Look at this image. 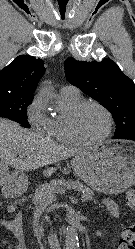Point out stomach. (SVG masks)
I'll return each mask as SVG.
<instances>
[{"instance_id": "stomach-1", "label": "stomach", "mask_w": 135, "mask_h": 249, "mask_svg": "<svg viewBox=\"0 0 135 249\" xmlns=\"http://www.w3.org/2000/svg\"><path fill=\"white\" fill-rule=\"evenodd\" d=\"M72 166L90 188L107 194L124 192L135 184V143L103 142L77 155Z\"/></svg>"}]
</instances>
